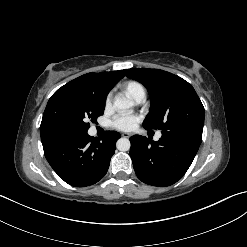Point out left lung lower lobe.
<instances>
[{
	"label": "left lung lower lobe",
	"instance_id": "left-lung-lower-lobe-1",
	"mask_svg": "<svg viewBox=\"0 0 247 247\" xmlns=\"http://www.w3.org/2000/svg\"><path fill=\"white\" fill-rule=\"evenodd\" d=\"M130 156L137 177L165 187L176 183L190 167L200 143L179 134H163L158 141L134 135Z\"/></svg>",
	"mask_w": 247,
	"mask_h": 247
}]
</instances>
